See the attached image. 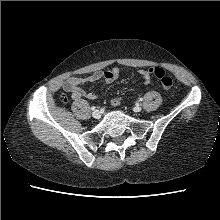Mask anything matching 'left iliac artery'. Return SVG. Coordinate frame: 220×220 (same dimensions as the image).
Here are the masks:
<instances>
[{"label": "left iliac artery", "instance_id": "44dca946", "mask_svg": "<svg viewBox=\"0 0 220 220\" xmlns=\"http://www.w3.org/2000/svg\"><path fill=\"white\" fill-rule=\"evenodd\" d=\"M139 101L141 102V101H143V98L141 97V98H139Z\"/></svg>", "mask_w": 220, "mask_h": 220}]
</instances>
